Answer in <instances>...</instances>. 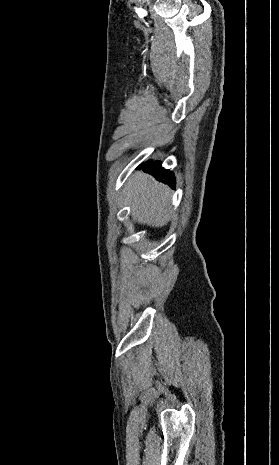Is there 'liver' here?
Returning a JSON list of instances; mask_svg holds the SVG:
<instances>
[{
	"instance_id": "6515ba94",
	"label": "liver",
	"mask_w": 279,
	"mask_h": 465,
	"mask_svg": "<svg viewBox=\"0 0 279 465\" xmlns=\"http://www.w3.org/2000/svg\"><path fill=\"white\" fill-rule=\"evenodd\" d=\"M170 188L146 173L133 174L125 187V204L140 224L162 227L171 217Z\"/></svg>"
}]
</instances>
